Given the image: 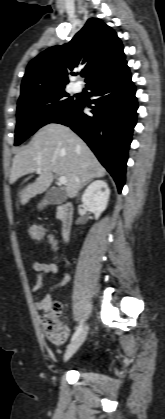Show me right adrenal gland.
<instances>
[{"mask_svg": "<svg viewBox=\"0 0 165 419\" xmlns=\"http://www.w3.org/2000/svg\"><path fill=\"white\" fill-rule=\"evenodd\" d=\"M89 183V181H87V182H85V183H83L82 184V186H81V189L86 185V184H88Z\"/></svg>", "mask_w": 165, "mask_h": 419, "instance_id": "obj_1", "label": "right adrenal gland"}]
</instances>
